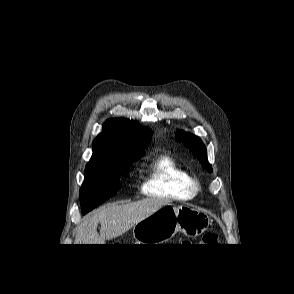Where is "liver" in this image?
Returning <instances> with one entry per match:
<instances>
[{
  "label": "liver",
  "mask_w": 294,
  "mask_h": 294,
  "mask_svg": "<svg viewBox=\"0 0 294 294\" xmlns=\"http://www.w3.org/2000/svg\"><path fill=\"white\" fill-rule=\"evenodd\" d=\"M169 200L146 198L127 204H110L83 218L77 228L75 244H105L121 236L135 224L169 204ZM100 223V233L97 226Z\"/></svg>",
  "instance_id": "obj_1"
}]
</instances>
